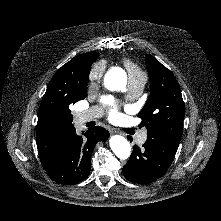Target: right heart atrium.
I'll return each instance as SVG.
<instances>
[{"mask_svg":"<svg viewBox=\"0 0 221 221\" xmlns=\"http://www.w3.org/2000/svg\"><path fill=\"white\" fill-rule=\"evenodd\" d=\"M104 64L101 62H97L94 64L88 74V83L89 86L95 85L97 82L100 81L103 73H104Z\"/></svg>","mask_w":221,"mask_h":221,"instance_id":"obj_1","label":"right heart atrium"}]
</instances>
